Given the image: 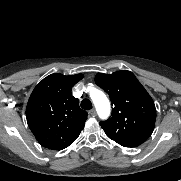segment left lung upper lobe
Instances as JSON below:
<instances>
[{
    "label": "left lung upper lobe",
    "instance_id": "1",
    "mask_svg": "<svg viewBox=\"0 0 181 181\" xmlns=\"http://www.w3.org/2000/svg\"><path fill=\"white\" fill-rule=\"evenodd\" d=\"M95 82L109 94L114 107L111 117L99 123L106 135L124 147L144 143L154 130L156 108L135 75L127 70L97 73Z\"/></svg>",
    "mask_w": 181,
    "mask_h": 181
}]
</instances>
